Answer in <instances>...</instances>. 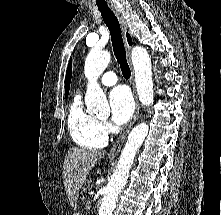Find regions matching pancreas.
I'll list each match as a JSON object with an SVG mask.
<instances>
[{"instance_id": "1", "label": "pancreas", "mask_w": 221, "mask_h": 215, "mask_svg": "<svg viewBox=\"0 0 221 215\" xmlns=\"http://www.w3.org/2000/svg\"><path fill=\"white\" fill-rule=\"evenodd\" d=\"M88 190H89V186L85 187L83 189V193H82L83 194V199H86V208H88L89 204H90L89 200H87V198H86V193H87Z\"/></svg>"}]
</instances>
